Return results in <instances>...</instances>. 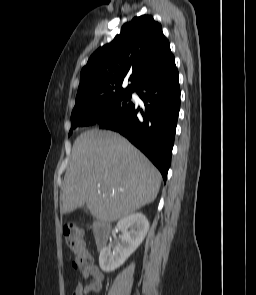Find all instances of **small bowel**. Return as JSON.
<instances>
[{"label": "small bowel", "mask_w": 256, "mask_h": 295, "mask_svg": "<svg viewBox=\"0 0 256 295\" xmlns=\"http://www.w3.org/2000/svg\"><path fill=\"white\" fill-rule=\"evenodd\" d=\"M90 280L89 284H84V280ZM104 275L98 266L93 264L84 265L80 268V279L78 280L76 290L73 295H88L90 293H99L103 289Z\"/></svg>", "instance_id": "c3829d8e"}]
</instances>
